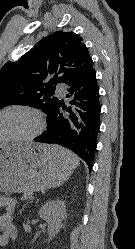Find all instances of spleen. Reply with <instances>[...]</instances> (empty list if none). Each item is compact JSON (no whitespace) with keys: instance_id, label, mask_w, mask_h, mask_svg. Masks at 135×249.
<instances>
[{"instance_id":"1","label":"spleen","mask_w":135,"mask_h":249,"mask_svg":"<svg viewBox=\"0 0 135 249\" xmlns=\"http://www.w3.org/2000/svg\"><path fill=\"white\" fill-rule=\"evenodd\" d=\"M59 152H60L61 156L71 160L73 162V164L75 165V167L79 165V158L75 154H73L72 152H70L64 148H61V147H59Z\"/></svg>"}]
</instances>
